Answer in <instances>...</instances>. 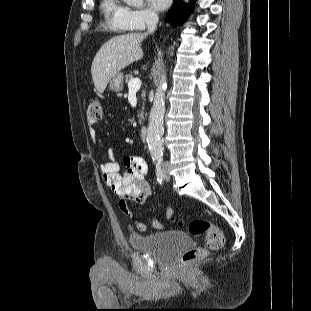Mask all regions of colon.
Wrapping results in <instances>:
<instances>
[{
	"instance_id": "1",
	"label": "colon",
	"mask_w": 311,
	"mask_h": 311,
	"mask_svg": "<svg viewBox=\"0 0 311 311\" xmlns=\"http://www.w3.org/2000/svg\"><path fill=\"white\" fill-rule=\"evenodd\" d=\"M87 119L99 121L103 118L102 102L92 98L87 107ZM173 219V218H172ZM179 226L184 225V220L178 221ZM189 233L194 236H205V246L186 251L181 257V265L188 266L198 260L205 258L211 251H216L224 246L225 238L223 232L208 220L196 218L188 225Z\"/></svg>"
}]
</instances>
